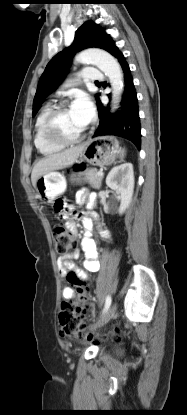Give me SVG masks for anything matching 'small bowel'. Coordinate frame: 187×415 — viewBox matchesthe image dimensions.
Segmentation results:
<instances>
[{
  "label": "small bowel",
  "mask_w": 187,
  "mask_h": 415,
  "mask_svg": "<svg viewBox=\"0 0 187 415\" xmlns=\"http://www.w3.org/2000/svg\"><path fill=\"white\" fill-rule=\"evenodd\" d=\"M78 199L82 202L88 199V193L86 189H82L78 192ZM91 217L96 218L95 213H91L90 217H84V224L86 228H90L91 226ZM67 227L73 233H76V226L73 222H68ZM104 238H108L106 232H102ZM82 249L85 253V260H84V269L78 268L74 260L77 259L80 255V251L75 249L64 256L59 257L58 259V266H59V274L62 277H66L70 272L77 274L82 280H87V273H94L99 270L100 264L97 255V249L95 242L89 237L86 236L82 240ZM62 296L65 299H75L76 292L73 287L66 286L62 289Z\"/></svg>",
  "instance_id": "c3829d8e"
}]
</instances>
